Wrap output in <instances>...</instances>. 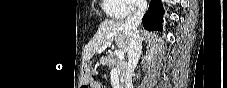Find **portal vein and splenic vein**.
Listing matches in <instances>:
<instances>
[{
    "label": "portal vein and splenic vein",
    "mask_w": 227,
    "mask_h": 88,
    "mask_svg": "<svg viewBox=\"0 0 227 88\" xmlns=\"http://www.w3.org/2000/svg\"><path fill=\"white\" fill-rule=\"evenodd\" d=\"M111 42H107V43H105L104 45H103V48H106V47H109V46H111ZM114 54H115V56L117 57V59L119 60V61H122L123 59H124V52L123 51H121V50H116L115 52H114Z\"/></svg>",
    "instance_id": "portal-vein-and-splenic-vein-1"
}]
</instances>
